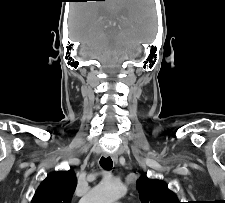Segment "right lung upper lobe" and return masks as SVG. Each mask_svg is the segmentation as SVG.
Masks as SVG:
<instances>
[{"mask_svg": "<svg viewBox=\"0 0 225 203\" xmlns=\"http://www.w3.org/2000/svg\"><path fill=\"white\" fill-rule=\"evenodd\" d=\"M76 185L72 170L51 173L38 187L31 203H71Z\"/></svg>", "mask_w": 225, "mask_h": 203, "instance_id": "right-lung-upper-lobe-1", "label": "right lung upper lobe"}]
</instances>
